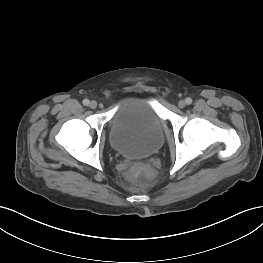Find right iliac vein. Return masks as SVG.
<instances>
[{"instance_id":"obj_1","label":"right iliac vein","mask_w":263,"mask_h":263,"mask_svg":"<svg viewBox=\"0 0 263 263\" xmlns=\"http://www.w3.org/2000/svg\"><path fill=\"white\" fill-rule=\"evenodd\" d=\"M89 107H90L91 109H95V108L97 107V102H96V101H91V102L89 103Z\"/></svg>"}]
</instances>
